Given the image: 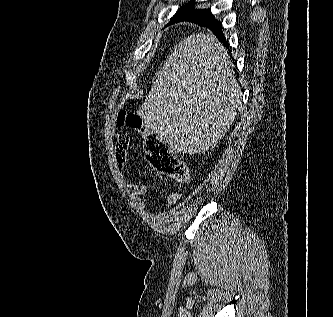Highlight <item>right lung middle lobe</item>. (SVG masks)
Returning a JSON list of instances; mask_svg holds the SVG:
<instances>
[{
    "mask_svg": "<svg viewBox=\"0 0 333 317\" xmlns=\"http://www.w3.org/2000/svg\"><path fill=\"white\" fill-rule=\"evenodd\" d=\"M195 5V2L191 1L182 5L177 13L172 17L171 23H175L187 18H192L194 16L205 15L210 13V9H193L192 7Z\"/></svg>",
    "mask_w": 333,
    "mask_h": 317,
    "instance_id": "right-lung-middle-lobe-1",
    "label": "right lung middle lobe"
}]
</instances>
